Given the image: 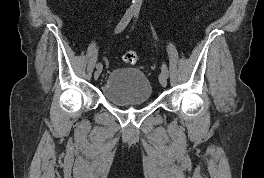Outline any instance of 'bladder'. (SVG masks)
<instances>
[{
  "label": "bladder",
  "mask_w": 264,
  "mask_h": 178,
  "mask_svg": "<svg viewBox=\"0 0 264 178\" xmlns=\"http://www.w3.org/2000/svg\"><path fill=\"white\" fill-rule=\"evenodd\" d=\"M104 99L118 107L148 103L152 87L146 75L135 68H117L101 84Z\"/></svg>",
  "instance_id": "obj_1"
}]
</instances>
